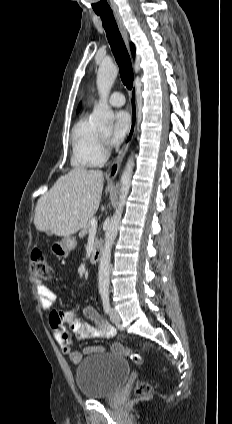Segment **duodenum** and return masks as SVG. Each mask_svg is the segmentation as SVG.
Segmentation results:
<instances>
[{"instance_id":"duodenum-1","label":"duodenum","mask_w":232,"mask_h":424,"mask_svg":"<svg viewBox=\"0 0 232 424\" xmlns=\"http://www.w3.org/2000/svg\"><path fill=\"white\" fill-rule=\"evenodd\" d=\"M101 251H102V243L98 242L94 246L92 254H91L90 261H91L92 264H96V263L99 262L100 256H101Z\"/></svg>"}]
</instances>
